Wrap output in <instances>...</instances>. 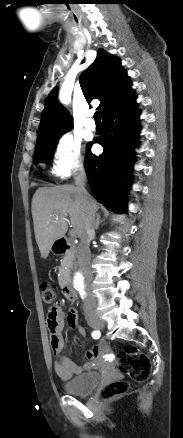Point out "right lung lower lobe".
<instances>
[{"mask_svg":"<svg viewBox=\"0 0 183 438\" xmlns=\"http://www.w3.org/2000/svg\"><path fill=\"white\" fill-rule=\"evenodd\" d=\"M139 114L133 94L102 116L103 133L97 142L103 146V153L96 156L88 147L85 168L91 189L99 202L116 213H123L126 207L123 195L129 184L124 178L133 166Z\"/></svg>","mask_w":183,"mask_h":438,"instance_id":"right-lung-lower-lobe-1","label":"right lung lower lobe"}]
</instances>
